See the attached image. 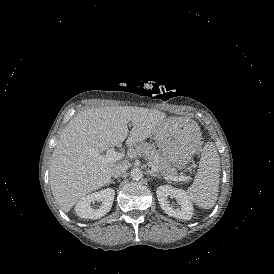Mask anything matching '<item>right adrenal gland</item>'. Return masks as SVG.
Instances as JSON below:
<instances>
[{
  "label": "right adrenal gland",
  "instance_id": "1",
  "mask_svg": "<svg viewBox=\"0 0 274 274\" xmlns=\"http://www.w3.org/2000/svg\"><path fill=\"white\" fill-rule=\"evenodd\" d=\"M110 183H114V180H110V181H109V184H110Z\"/></svg>",
  "mask_w": 274,
  "mask_h": 274
}]
</instances>
